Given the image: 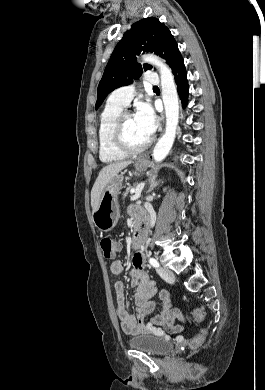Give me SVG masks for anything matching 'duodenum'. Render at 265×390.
Instances as JSON below:
<instances>
[{"label": "duodenum", "instance_id": "1", "mask_svg": "<svg viewBox=\"0 0 265 390\" xmlns=\"http://www.w3.org/2000/svg\"><path fill=\"white\" fill-rule=\"evenodd\" d=\"M147 236V220L138 216L134 222L132 243L136 246H141Z\"/></svg>", "mask_w": 265, "mask_h": 390}]
</instances>
